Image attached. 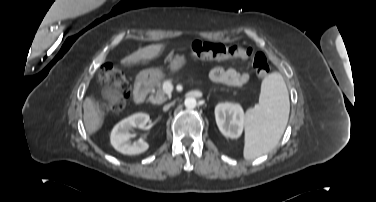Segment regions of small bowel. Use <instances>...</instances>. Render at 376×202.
Masks as SVG:
<instances>
[{
  "mask_svg": "<svg viewBox=\"0 0 376 202\" xmlns=\"http://www.w3.org/2000/svg\"><path fill=\"white\" fill-rule=\"evenodd\" d=\"M209 77L216 83H221L229 86H240L249 80L248 73H240L234 69H224L220 66L212 68L209 72Z\"/></svg>",
  "mask_w": 376,
  "mask_h": 202,
  "instance_id": "obj_1",
  "label": "small bowel"
}]
</instances>
